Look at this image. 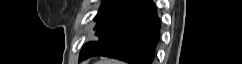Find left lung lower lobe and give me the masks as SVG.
Here are the masks:
<instances>
[{
  "label": "left lung lower lobe",
  "instance_id": "0a47b994",
  "mask_svg": "<svg viewBox=\"0 0 242 64\" xmlns=\"http://www.w3.org/2000/svg\"><path fill=\"white\" fill-rule=\"evenodd\" d=\"M100 38L82 47L79 61L101 55L129 64H152L160 22L152 0H119L98 20Z\"/></svg>",
  "mask_w": 242,
  "mask_h": 64
}]
</instances>
